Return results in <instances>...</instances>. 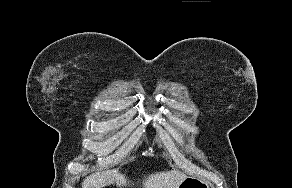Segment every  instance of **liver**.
<instances>
[{
	"label": "liver",
	"instance_id": "obj_1",
	"mask_svg": "<svg viewBox=\"0 0 292 188\" xmlns=\"http://www.w3.org/2000/svg\"><path fill=\"white\" fill-rule=\"evenodd\" d=\"M185 177L184 173L177 170L156 172L144 179L143 188H178ZM114 181L118 188L129 185L125 175L114 169L89 175L83 180L82 188H103Z\"/></svg>",
	"mask_w": 292,
	"mask_h": 188
}]
</instances>
